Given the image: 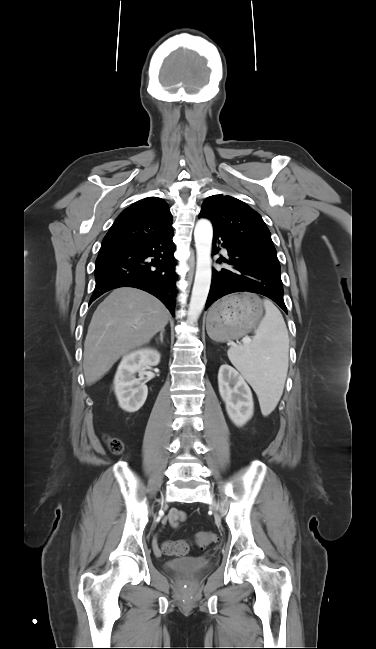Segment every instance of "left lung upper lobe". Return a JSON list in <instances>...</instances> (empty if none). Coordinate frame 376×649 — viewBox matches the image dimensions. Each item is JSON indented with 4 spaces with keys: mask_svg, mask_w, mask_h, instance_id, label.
<instances>
[{
    "mask_svg": "<svg viewBox=\"0 0 376 649\" xmlns=\"http://www.w3.org/2000/svg\"><path fill=\"white\" fill-rule=\"evenodd\" d=\"M199 217L212 222L214 230L277 258L271 234L261 216L231 196L213 195L202 204Z\"/></svg>",
    "mask_w": 376,
    "mask_h": 649,
    "instance_id": "1",
    "label": "left lung upper lobe"
}]
</instances>
